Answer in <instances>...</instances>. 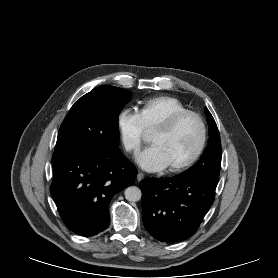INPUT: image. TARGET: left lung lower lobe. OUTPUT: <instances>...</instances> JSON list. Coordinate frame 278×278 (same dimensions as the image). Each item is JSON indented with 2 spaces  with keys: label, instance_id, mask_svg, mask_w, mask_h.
Here are the masks:
<instances>
[{
  "label": "left lung lower lobe",
  "instance_id": "obj_1",
  "mask_svg": "<svg viewBox=\"0 0 278 278\" xmlns=\"http://www.w3.org/2000/svg\"><path fill=\"white\" fill-rule=\"evenodd\" d=\"M217 182L175 176L140 182L145 229L157 240L175 243L192 236L212 206Z\"/></svg>",
  "mask_w": 278,
  "mask_h": 278
}]
</instances>
